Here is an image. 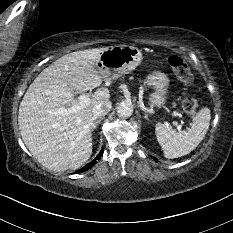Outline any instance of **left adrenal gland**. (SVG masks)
<instances>
[{"instance_id": "a2214340", "label": "left adrenal gland", "mask_w": 233, "mask_h": 233, "mask_svg": "<svg viewBox=\"0 0 233 233\" xmlns=\"http://www.w3.org/2000/svg\"><path fill=\"white\" fill-rule=\"evenodd\" d=\"M142 110L144 111L145 119H146V120H149V118H148V113L146 112V110H144V109H142Z\"/></svg>"}]
</instances>
